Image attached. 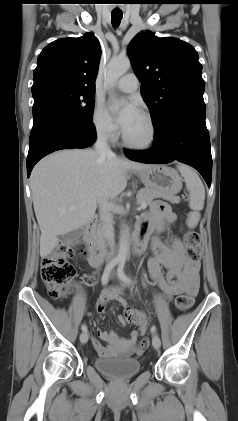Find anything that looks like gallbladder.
<instances>
[{"mask_svg":"<svg viewBox=\"0 0 238 421\" xmlns=\"http://www.w3.org/2000/svg\"><path fill=\"white\" fill-rule=\"evenodd\" d=\"M82 234V229H76L72 232L67 233L64 236L65 241L67 242H73L74 240L78 239Z\"/></svg>","mask_w":238,"mask_h":421,"instance_id":"gallbladder-1","label":"gallbladder"}]
</instances>
